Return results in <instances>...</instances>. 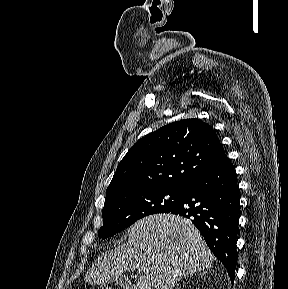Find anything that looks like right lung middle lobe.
Listing matches in <instances>:
<instances>
[{
	"label": "right lung middle lobe",
	"instance_id": "1",
	"mask_svg": "<svg viewBox=\"0 0 288 289\" xmlns=\"http://www.w3.org/2000/svg\"><path fill=\"white\" fill-rule=\"evenodd\" d=\"M183 193V188H153L106 197L99 237L113 236L145 216L168 213L182 200Z\"/></svg>",
	"mask_w": 288,
	"mask_h": 289
}]
</instances>
